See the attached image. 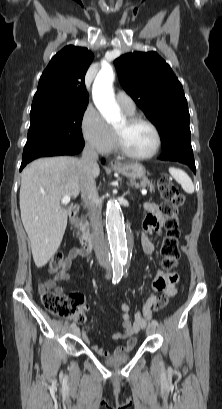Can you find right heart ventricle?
<instances>
[{"label": "right heart ventricle", "instance_id": "obj_1", "mask_svg": "<svg viewBox=\"0 0 222 409\" xmlns=\"http://www.w3.org/2000/svg\"><path fill=\"white\" fill-rule=\"evenodd\" d=\"M127 115L131 116L134 114V112H125Z\"/></svg>", "mask_w": 222, "mask_h": 409}]
</instances>
